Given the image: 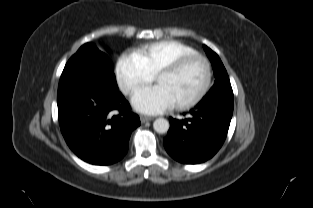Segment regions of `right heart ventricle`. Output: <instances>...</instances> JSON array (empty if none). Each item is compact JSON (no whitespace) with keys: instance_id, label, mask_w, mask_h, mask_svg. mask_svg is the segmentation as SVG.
Here are the masks:
<instances>
[{"instance_id":"obj_1","label":"right heart ventricle","mask_w":313,"mask_h":208,"mask_svg":"<svg viewBox=\"0 0 313 208\" xmlns=\"http://www.w3.org/2000/svg\"><path fill=\"white\" fill-rule=\"evenodd\" d=\"M193 53H197L193 47L178 40L152 42L135 51V55L153 75L178 57Z\"/></svg>"}]
</instances>
